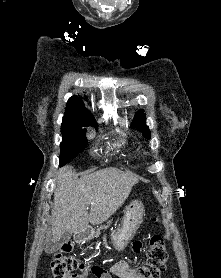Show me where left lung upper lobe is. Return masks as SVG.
<instances>
[{"label":"left lung upper lobe","instance_id":"obj_1","mask_svg":"<svg viewBox=\"0 0 221 278\" xmlns=\"http://www.w3.org/2000/svg\"><path fill=\"white\" fill-rule=\"evenodd\" d=\"M131 127L136 128L138 131H142L144 137L150 139V132H149L148 126H146V124H145V115L143 114V112H139L135 116V118L131 124Z\"/></svg>","mask_w":221,"mask_h":278}]
</instances>
